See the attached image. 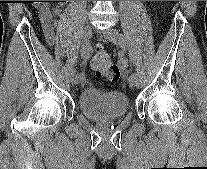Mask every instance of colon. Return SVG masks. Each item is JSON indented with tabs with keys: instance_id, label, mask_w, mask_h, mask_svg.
<instances>
[{
	"instance_id": "colon-1",
	"label": "colon",
	"mask_w": 207,
	"mask_h": 169,
	"mask_svg": "<svg viewBox=\"0 0 207 169\" xmlns=\"http://www.w3.org/2000/svg\"><path fill=\"white\" fill-rule=\"evenodd\" d=\"M91 68L99 77H104L109 81L115 82L120 77L119 68L112 62L109 55L99 50L91 61Z\"/></svg>"
}]
</instances>
